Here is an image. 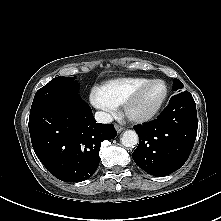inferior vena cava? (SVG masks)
<instances>
[{
    "instance_id": "1",
    "label": "inferior vena cava",
    "mask_w": 221,
    "mask_h": 221,
    "mask_svg": "<svg viewBox=\"0 0 221 221\" xmlns=\"http://www.w3.org/2000/svg\"><path fill=\"white\" fill-rule=\"evenodd\" d=\"M95 119L99 123H110L112 122V116L106 112L103 111H97L94 115Z\"/></svg>"
}]
</instances>
